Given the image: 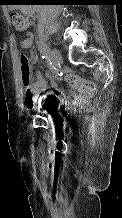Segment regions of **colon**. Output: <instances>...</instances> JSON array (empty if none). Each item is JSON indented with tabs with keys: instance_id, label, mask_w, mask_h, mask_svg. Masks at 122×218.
Returning <instances> with one entry per match:
<instances>
[{
	"instance_id": "5ec220e1",
	"label": "colon",
	"mask_w": 122,
	"mask_h": 218,
	"mask_svg": "<svg viewBox=\"0 0 122 218\" xmlns=\"http://www.w3.org/2000/svg\"><path fill=\"white\" fill-rule=\"evenodd\" d=\"M11 20L14 27L19 32L26 31L32 24V18L29 15L17 11L11 12ZM20 75L23 88L29 95L32 88L31 57L27 52H22L20 56ZM69 82L73 88L79 90L84 95L91 96L95 92V86L92 83L84 81L80 78L71 76L69 78ZM27 105L28 107H31L32 102L29 100Z\"/></svg>"
}]
</instances>
